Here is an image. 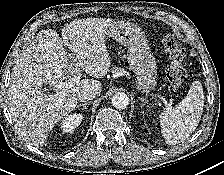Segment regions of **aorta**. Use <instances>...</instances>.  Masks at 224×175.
Wrapping results in <instances>:
<instances>
[{
  "mask_svg": "<svg viewBox=\"0 0 224 175\" xmlns=\"http://www.w3.org/2000/svg\"><path fill=\"white\" fill-rule=\"evenodd\" d=\"M112 105L117 109H125L129 105V97L123 92H118L112 97Z\"/></svg>",
  "mask_w": 224,
  "mask_h": 175,
  "instance_id": "762f6f07",
  "label": "aorta"
}]
</instances>
